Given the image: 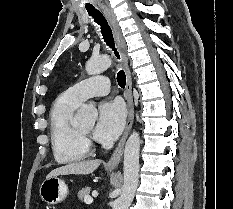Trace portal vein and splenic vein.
Masks as SVG:
<instances>
[{
	"label": "portal vein and splenic vein",
	"mask_w": 233,
	"mask_h": 209,
	"mask_svg": "<svg viewBox=\"0 0 233 209\" xmlns=\"http://www.w3.org/2000/svg\"><path fill=\"white\" fill-rule=\"evenodd\" d=\"M84 202H85V204H92L93 203V199L90 196L89 197H85Z\"/></svg>",
	"instance_id": "1"
}]
</instances>
